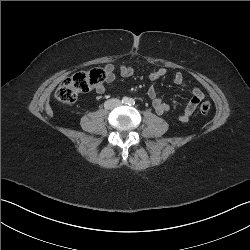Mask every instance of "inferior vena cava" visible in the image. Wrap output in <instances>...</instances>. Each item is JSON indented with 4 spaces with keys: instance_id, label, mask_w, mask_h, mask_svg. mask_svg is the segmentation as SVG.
I'll return each instance as SVG.
<instances>
[{
    "instance_id": "inferior-vena-cava-1",
    "label": "inferior vena cava",
    "mask_w": 250,
    "mask_h": 250,
    "mask_svg": "<svg viewBox=\"0 0 250 250\" xmlns=\"http://www.w3.org/2000/svg\"><path fill=\"white\" fill-rule=\"evenodd\" d=\"M121 105V102L120 100L118 99H110L108 100L106 103H105V107L107 109H112V108H115V107H118Z\"/></svg>"
}]
</instances>
